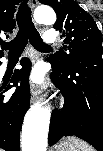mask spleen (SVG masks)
Segmentation results:
<instances>
[{
	"label": "spleen",
	"mask_w": 103,
	"mask_h": 151,
	"mask_svg": "<svg viewBox=\"0 0 103 151\" xmlns=\"http://www.w3.org/2000/svg\"><path fill=\"white\" fill-rule=\"evenodd\" d=\"M70 139L74 144H76L79 147V149H81V151H94L90 146H88L86 143L79 140L78 138L73 137Z\"/></svg>",
	"instance_id": "obj_1"
}]
</instances>
